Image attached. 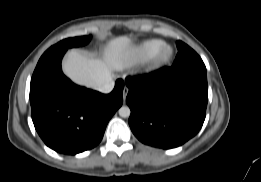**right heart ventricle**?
<instances>
[{
  "label": "right heart ventricle",
  "instance_id": "1",
  "mask_svg": "<svg viewBox=\"0 0 261 182\" xmlns=\"http://www.w3.org/2000/svg\"><path fill=\"white\" fill-rule=\"evenodd\" d=\"M165 46V42L159 39H148L139 43L133 50V57L137 61H149Z\"/></svg>",
  "mask_w": 261,
  "mask_h": 182
}]
</instances>
